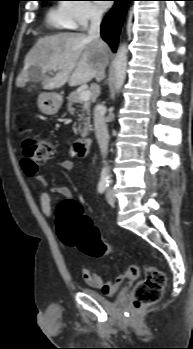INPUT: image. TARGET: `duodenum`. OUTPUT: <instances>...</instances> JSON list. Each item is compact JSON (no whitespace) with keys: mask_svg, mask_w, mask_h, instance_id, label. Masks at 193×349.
Segmentation results:
<instances>
[{"mask_svg":"<svg viewBox=\"0 0 193 349\" xmlns=\"http://www.w3.org/2000/svg\"><path fill=\"white\" fill-rule=\"evenodd\" d=\"M92 142L89 138H83L74 144V153L76 156H86L91 150Z\"/></svg>","mask_w":193,"mask_h":349,"instance_id":"410a0bca","label":"duodenum"}]
</instances>
